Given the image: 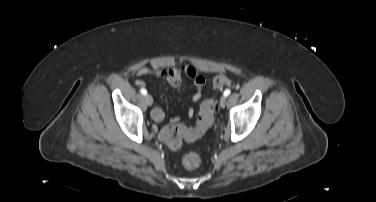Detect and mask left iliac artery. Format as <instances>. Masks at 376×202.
Listing matches in <instances>:
<instances>
[{
  "label": "left iliac artery",
  "instance_id": "left-iliac-artery-1",
  "mask_svg": "<svg viewBox=\"0 0 376 202\" xmlns=\"http://www.w3.org/2000/svg\"><path fill=\"white\" fill-rule=\"evenodd\" d=\"M230 93H231V90L230 89H226L224 91V96L227 97Z\"/></svg>",
  "mask_w": 376,
  "mask_h": 202
}]
</instances>
